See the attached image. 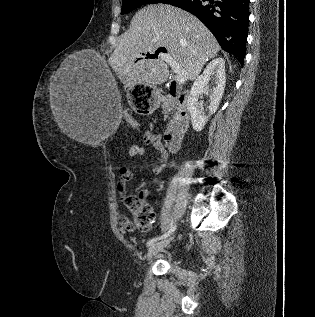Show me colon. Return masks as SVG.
Listing matches in <instances>:
<instances>
[{"mask_svg":"<svg viewBox=\"0 0 315 317\" xmlns=\"http://www.w3.org/2000/svg\"><path fill=\"white\" fill-rule=\"evenodd\" d=\"M125 120L133 129L138 128V123L133 117L127 115ZM124 202L127 211L133 216V223L131 222L133 226L146 229L152 225L155 213L141 194L129 195Z\"/></svg>","mask_w":315,"mask_h":317,"instance_id":"colon-1","label":"colon"}]
</instances>
